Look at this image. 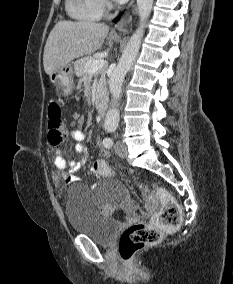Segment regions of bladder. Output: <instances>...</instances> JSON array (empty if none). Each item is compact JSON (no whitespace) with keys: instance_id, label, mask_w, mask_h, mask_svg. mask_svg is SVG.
Segmentation results:
<instances>
[{"instance_id":"bladder-1","label":"bladder","mask_w":233,"mask_h":284,"mask_svg":"<svg viewBox=\"0 0 233 284\" xmlns=\"http://www.w3.org/2000/svg\"><path fill=\"white\" fill-rule=\"evenodd\" d=\"M128 195L127 188L119 181L105 183L98 195L84 185H72L66 201V217L71 229L99 244L109 245L120 229V222L105 214L99 206L123 202Z\"/></svg>"}]
</instances>
